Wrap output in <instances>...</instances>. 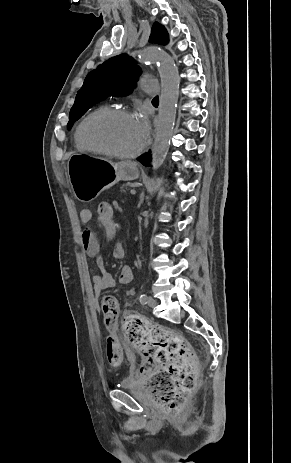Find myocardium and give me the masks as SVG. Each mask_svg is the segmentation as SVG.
<instances>
[{"label": "myocardium", "mask_w": 291, "mask_h": 463, "mask_svg": "<svg viewBox=\"0 0 291 463\" xmlns=\"http://www.w3.org/2000/svg\"><path fill=\"white\" fill-rule=\"evenodd\" d=\"M116 117L133 118L134 115L131 111L127 109H122V108H112V109H108L106 111L98 112V113L91 115L85 120L80 130V136H81L83 143L90 150L110 156V157L121 158V159H131V158H135L139 156L147 145V140H146L147 138L144 139L143 143L135 151L130 152V153H122V152L115 151L105 145L98 144L94 142L93 140H91V138L89 137V133H88L89 128L93 123L97 121L113 119Z\"/></svg>", "instance_id": "myocardium-1"}]
</instances>
